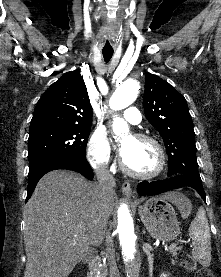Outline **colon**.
<instances>
[{"instance_id": "1", "label": "colon", "mask_w": 221, "mask_h": 277, "mask_svg": "<svg viewBox=\"0 0 221 277\" xmlns=\"http://www.w3.org/2000/svg\"><path fill=\"white\" fill-rule=\"evenodd\" d=\"M177 260L183 269L194 272L196 277H215L209 269L199 268L196 261L187 253H180Z\"/></svg>"}]
</instances>
